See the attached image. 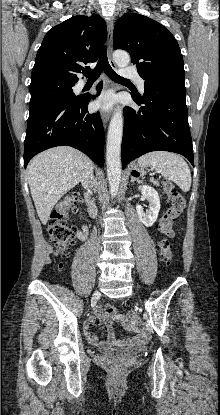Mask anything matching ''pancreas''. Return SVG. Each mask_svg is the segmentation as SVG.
<instances>
[{
  "label": "pancreas",
  "mask_w": 220,
  "mask_h": 415,
  "mask_svg": "<svg viewBox=\"0 0 220 415\" xmlns=\"http://www.w3.org/2000/svg\"><path fill=\"white\" fill-rule=\"evenodd\" d=\"M151 182H153L154 185L158 186V182L155 180H151Z\"/></svg>",
  "instance_id": "cf45deb5"
}]
</instances>
